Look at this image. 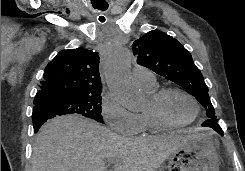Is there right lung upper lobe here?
<instances>
[{
  "instance_id": "cb5924a9",
  "label": "right lung upper lobe",
  "mask_w": 245,
  "mask_h": 171,
  "mask_svg": "<svg viewBox=\"0 0 245 171\" xmlns=\"http://www.w3.org/2000/svg\"><path fill=\"white\" fill-rule=\"evenodd\" d=\"M97 52L83 48L62 50L48 63L34 104L50 96L101 94Z\"/></svg>"
}]
</instances>
